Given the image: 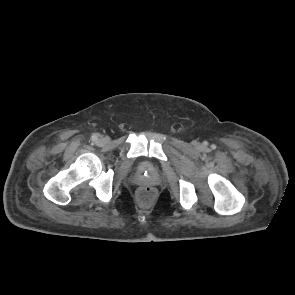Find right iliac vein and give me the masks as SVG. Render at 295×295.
Instances as JSON below:
<instances>
[{
	"label": "right iliac vein",
	"mask_w": 295,
	"mask_h": 295,
	"mask_svg": "<svg viewBox=\"0 0 295 295\" xmlns=\"http://www.w3.org/2000/svg\"><path fill=\"white\" fill-rule=\"evenodd\" d=\"M108 141V139L106 138V137H102V138H100L99 140H98V142L100 143V144H104V143H106Z\"/></svg>",
	"instance_id": "63e3f726"
}]
</instances>
